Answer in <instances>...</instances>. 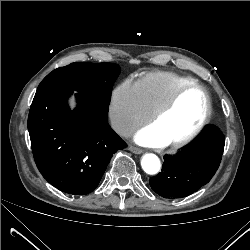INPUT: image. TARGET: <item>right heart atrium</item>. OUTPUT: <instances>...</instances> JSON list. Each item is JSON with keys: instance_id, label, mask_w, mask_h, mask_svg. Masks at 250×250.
<instances>
[{"instance_id": "1", "label": "right heart atrium", "mask_w": 250, "mask_h": 250, "mask_svg": "<svg viewBox=\"0 0 250 250\" xmlns=\"http://www.w3.org/2000/svg\"><path fill=\"white\" fill-rule=\"evenodd\" d=\"M109 117L112 128L120 136H128L151 118L136 83L131 79L123 80L113 89Z\"/></svg>"}]
</instances>
